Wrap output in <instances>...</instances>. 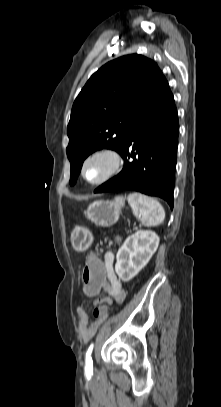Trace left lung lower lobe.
Instances as JSON below:
<instances>
[{
  "label": "left lung lower lobe",
  "instance_id": "0a47b994",
  "mask_svg": "<svg viewBox=\"0 0 221 407\" xmlns=\"http://www.w3.org/2000/svg\"><path fill=\"white\" fill-rule=\"evenodd\" d=\"M179 123L165 77L130 127L120 155L122 171L95 193L128 189L157 196L173 208Z\"/></svg>",
  "mask_w": 221,
  "mask_h": 407
}]
</instances>
